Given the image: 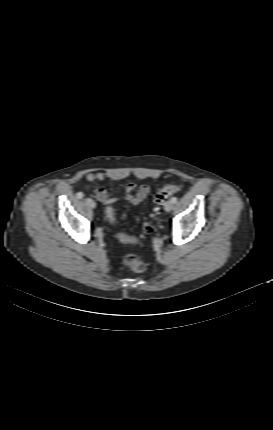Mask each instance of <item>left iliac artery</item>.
Segmentation results:
<instances>
[{
	"label": "left iliac artery",
	"mask_w": 273,
	"mask_h": 430,
	"mask_svg": "<svg viewBox=\"0 0 273 430\" xmlns=\"http://www.w3.org/2000/svg\"><path fill=\"white\" fill-rule=\"evenodd\" d=\"M171 201H172L173 203H176V202H177V198H176V197H172V198H171Z\"/></svg>",
	"instance_id": "1"
}]
</instances>
